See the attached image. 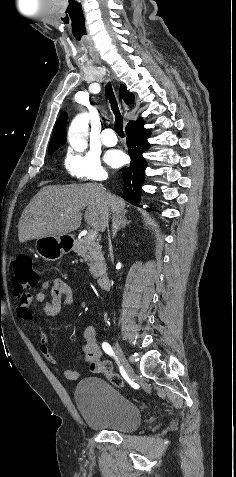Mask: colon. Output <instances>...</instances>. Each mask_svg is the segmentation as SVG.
<instances>
[{"label": "colon", "instance_id": "5ec220e1", "mask_svg": "<svg viewBox=\"0 0 236 477\" xmlns=\"http://www.w3.org/2000/svg\"><path fill=\"white\" fill-rule=\"evenodd\" d=\"M13 269L14 292L19 299L20 305L29 306L32 300L29 290L35 288L38 283V274L34 267V261L28 255H21L16 259ZM101 368L114 386L122 387L124 385L122 377L113 372L110 362L101 361Z\"/></svg>", "mask_w": 236, "mask_h": 477}]
</instances>
